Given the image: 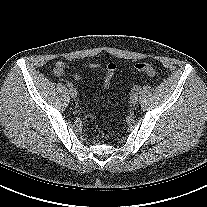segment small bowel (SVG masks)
<instances>
[{"mask_svg": "<svg viewBox=\"0 0 207 207\" xmlns=\"http://www.w3.org/2000/svg\"><path fill=\"white\" fill-rule=\"evenodd\" d=\"M85 67L89 69H101L103 75L102 86L105 89L110 87L114 72L116 71L117 68L115 63H108L104 66H101L98 63H89ZM66 69H67V65L62 61H58L54 67L53 72L56 76L60 77L65 74ZM72 77L76 81L80 79V75L78 73H74Z\"/></svg>", "mask_w": 207, "mask_h": 207, "instance_id": "obj_1", "label": "small bowel"}]
</instances>
